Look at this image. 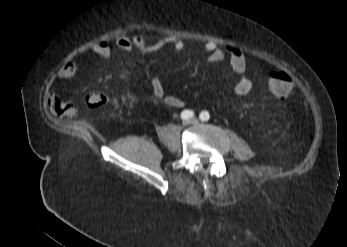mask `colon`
<instances>
[{
    "instance_id": "5ec220e1",
    "label": "colon",
    "mask_w": 347,
    "mask_h": 247,
    "mask_svg": "<svg viewBox=\"0 0 347 247\" xmlns=\"http://www.w3.org/2000/svg\"><path fill=\"white\" fill-rule=\"evenodd\" d=\"M270 92L277 98H286L292 91V80L284 71H275L268 78ZM106 96L100 92H92L87 97V103L91 108H100L106 103Z\"/></svg>"
}]
</instances>
